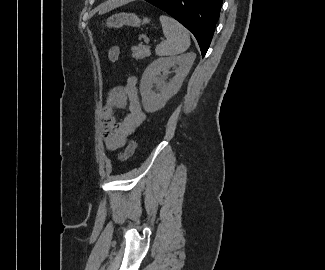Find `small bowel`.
Returning a JSON list of instances; mask_svg holds the SVG:
<instances>
[{
	"label": "small bowel",
	"mask_w": 325,
	"mask_h": 270,
	"mask_svg": "<svg viewBox=\"0 0 325 270\" xmlns=\"http://www.w3.org/2000/svg\"><path fill=\"white\" fill-rule=\"evenodd\" d=\"M119 109L128 111L121 122H118L115 117V111ZM102 120L103 141L109 150L122 147L145 122L146 115L137 94V79L135 77H128L125 84L115 86L109 91L102 111Z\"/></svg>",
	"instance_id": "small-bowel-1"
}]
</instances>
